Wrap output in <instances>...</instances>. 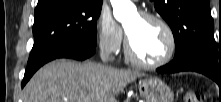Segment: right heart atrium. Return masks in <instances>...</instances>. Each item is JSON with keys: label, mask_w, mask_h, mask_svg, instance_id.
Wrapping results in <instances>:
<instances>
[{"label": "right heart atrium", "mask_w": 221, "mask_h": 102, "mask_svg": "<svg viewBox=\"0 0 221 102\" xmlns=\"http://www.w3.org/2000/svg\"><path fill=\"white\" fill-rule=\"evenodd\" d=\"M97 40L100 48L108 53L117 52L122 45V30L108 12H102L97 20Z\"/></svg>", "instance_id": "right-heart-atrium-1"}]
</instances>
